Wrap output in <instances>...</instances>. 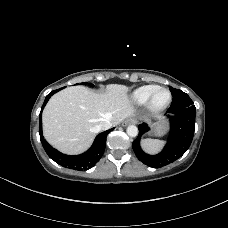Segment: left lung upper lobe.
I'll return each instance as SVG.
<instances>
[{
  "mask_svg": "<svg viewBox=\"0 0 228 228\" xmlns=\"http://www.w3.org/2000/svg\"><path fill=\"white\" fill-rule=\"evenodd\" d=\"M169 89L174 98H183V97L187 96V94L184 93L183 91H181L180 89H175L172 87H169Z\"/></svg>",
  "mask_w": 228,
  "mask_h": 228,
  "instance_id": "5c2ea615",
  "label": "left lung upper lobe"
}]
</instances>
